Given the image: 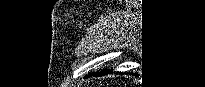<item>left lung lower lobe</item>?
I'll use <instances>...</instances> for the list:
<instances>
[{"label":"left lung lower lobe","instance_id":"obj_1","mask_svg":"<svg viewBox=\"0 0 205 87\" xmlns=\"http://www.w3.org/2000/svg\"><path fill=\"white\" fill-rule=\"evenodd\" d=\"M105 73H108V71L103 70V71L100 72L99 75H103V74H105ZM95 75H97V74H96V73H93V74L90 73V74H89L88 76H86L85 78L90 77V76H95Z\"/></svg>","mask_w":205,"mask_h":87}]
</instances>
